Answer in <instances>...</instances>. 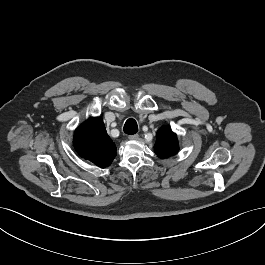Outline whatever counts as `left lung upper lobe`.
<instances>
[{"label":"left lung upper lobe","instance_id":"obj_1","mask_svg":"<svg viewBox=\"0 0 265 265\" xmlns=\"http://www.w3.org/2000/svg\"><path fill=\"white\" fill-rule=\"evenodd\" d=\"M154 151L160 158H168L175 155L178 150L177 136L168 127L161 128L156 134Z\"/></svg>","mask_w":265,"mask_h":265}]
</instances>
